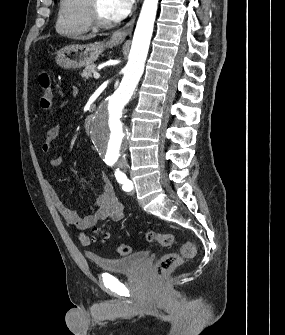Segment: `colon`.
Wrapping results in <instances>:
<instances>
[{
  "mask_svg": "<svg viewBox=\"0 0 285 335\" xmlns=\"http://www.w3.org/2000/svg\"><path fill=\"white\" fill-rule=\"evenodd\" d=\"M40 97L39 106L43 111L50 109L53 100L50 76L47 71H41L39 74ZM106 238L107 235H104ZM145 238L150 242H157L164 247H170L176 242V236L172 233L160 234L152 230L145 233ZM131 251L126 244H121L117 248L119 255H127ZM196 255V246L190 241H183L180 250L177 253H169L162 256L154 266V274L156 277H163L171 273L176 267L184 262L191 260Z\"/></svg>",
  "mask_w": 285,
  "mask_h": 335,
  "instance_id": "obj_1",
  "label": "colon"
}]
</instances>
